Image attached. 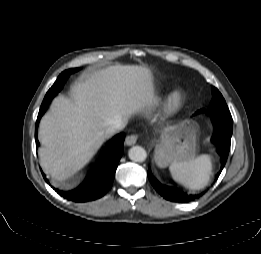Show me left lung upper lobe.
<instances>
[{
  "label": "left lung upper lobe",
  "instance_id": "5c2ea615",
  "mask_svg": "<svg viewBox=\"0 0 261 254\" xmlns=\"http://www.w3.org/2000/svg\"><path fill=\"white\" fill-rule=\"evenodd\" d=\"M213 98L207 110H200L199 112H207L211 116L221 117V118H232L230 111L227 107V104L222 96V94L218 91L217 88H213L212 90Z\"/></svg>",
  "mask_w": 261,
  "mask_h": 254
}]
</instances>
